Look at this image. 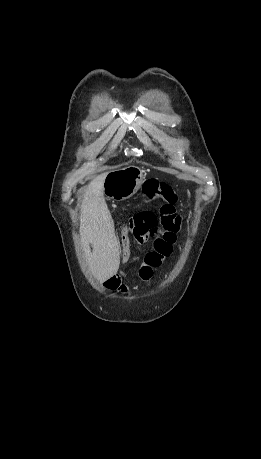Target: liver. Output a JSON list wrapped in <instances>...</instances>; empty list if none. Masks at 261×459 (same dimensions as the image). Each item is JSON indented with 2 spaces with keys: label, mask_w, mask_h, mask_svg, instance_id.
Instances as JSON below:
<instances>
[{
  "label": "liver",
  "mask_w": 261,
  "mask_h": 459,
  "mask_svg": "<svg viewBox=\"0 0 261 459\" xmlns=\"http://www.w3.org/2000/svg\"><path fill=\"white\" fill-rule=\"evenodd\" d=\"M107 174L102 173L89 183L83 196L80 214L81 245L89 268L100 282L115 275L120 265L119 244L103 198ZM89 244L92 245V253L89 252Z\"/></svg>",
  "instance_id": "liver-1"
}]
</instances>
